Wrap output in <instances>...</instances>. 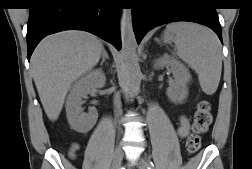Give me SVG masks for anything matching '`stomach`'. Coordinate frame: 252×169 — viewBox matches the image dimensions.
<instances>
[{"mask_svg":"<svg viewBox=\"0 0 252 169\" xmlns=\"http://www.w3.org/2000/svg\"><path fill=\"white\" fill-rule=\"evenodd\" d=\"M163 41L165 43H169V42H174L176 41V34L175 31L173 30V28H171L170 26L165 30L163 37H162Z\"/></svg>","mask_w":252,"mask_h":169,"instance_id":"obj_1","label":"stomach"}]
</instances>
